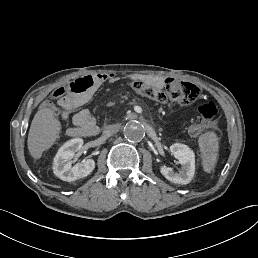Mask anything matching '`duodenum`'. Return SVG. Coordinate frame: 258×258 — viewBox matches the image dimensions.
Here are the masks:
<instances>
[{"instance_id": "1", "label": "duodenum", "mask_w": 258, "mask_h": 258, "mask_svg": "<svg viewBox=\"0 0 258 258\" xmlns=\"http://www.w3.org/2000/svg\"><path fill=\"white\" fill-rule=\"evenodd\" d=\"M108 78H109V76H107V75H100V74L93 76V79L96 82H98V83H101V82L105 81ZM76 136H88V135L85 132H83V131H78V132H76Z\"/></svg>"}]
</instances>
